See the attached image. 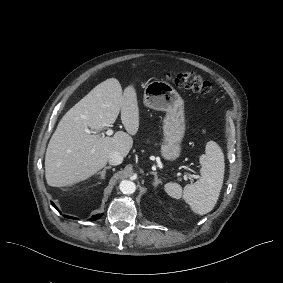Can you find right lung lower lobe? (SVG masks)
Here are the masks:
<instances>
[{"mask_svg":"<svg viewBox=\"0 0 283 283\" xmlns=\"http://www.w3.org/2000/svg\"><path fill=\"white\" fill-rule=\"evenodd\" d=\"M52 205H53L54 208H56L58 210V208L54 205V203H52ZM65 217L66 218H70V219H75L74 217H69V216H65ZM100 217H101V214H97V215L92 216L91 220H96V219H98Z\"/></svg>","mask_w":283,"mask_h":283,"instance_id":"98d812e1","label":"right lung lower lobe"}]
</instances>
